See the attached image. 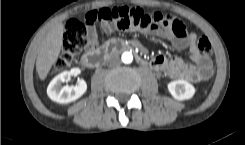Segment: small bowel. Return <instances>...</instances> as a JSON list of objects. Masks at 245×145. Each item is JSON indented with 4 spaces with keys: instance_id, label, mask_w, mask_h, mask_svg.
<instances>
[{
    "instance_id": "1",
    "label": "small bowel",
    "mask_w": 245,
    "mask_h": 145,
    "mask_svg": "<svg viewBox=\"0 0 245 145\" xmlns=\"http://www.w3.org/2000/svg\"><path fill=\"white\" fill-rule=\"evenodd\" d=\"M101 28L105 33H111L116 28V22L114 20L105 21L102 23ZM90 33L92 35L95 34L93 30ZM150 33L171 41L173 46L180 50L190 45V59L194 62L193 65H186L178 58L167 60L163 56H157L152 60L153 68L165 69L171 78L187 77L192 81H199L204 77L209 60L193 45V40L195 39L194 34L176 36L170 22L165 23L162 28ZM135 45L138 47L141 46L138 42H135Z\"/></svg>"
}]
</instances>
